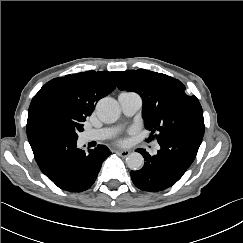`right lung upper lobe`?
<instances>
[{"instance_id":"cb5924a9","label":"right lung upper lobe","mask_w":243,"mask_h":243,"mask_svg":"<svg viewBox=\"0 0 243 243\" xmlns=\"http://www.w3.org/2000/svg\"><path fill=\"white\" fill-rule=\"evenodd\" d=\"M121 71H86L54 78L33 97L27 120V130L39 126L35 109L42 102L57 100L85 118L90 116L96 103L111 93L121 76Z\"/></svg>"}]
</instances>
